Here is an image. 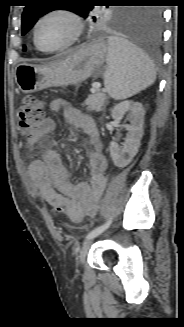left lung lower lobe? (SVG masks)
Instances as JSON below:
<instances>
[{"label":"left lung lower lobe","mask_w":184,"mask_h":327,"mask_svg":"<svg viewBox=\"0 0 184 327\" xmlns=\"http://www.w3.org/2000/svg\"><path fill=\"white\" fill-rule=\"evenodd\" d=\"M131 41L143 52L153 56L159 53L162 38V14L156 8H145L137 22L130 26Z\"/></svg>","instance_id":"1"}]
</instances>
